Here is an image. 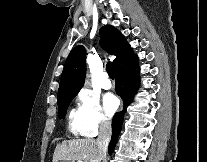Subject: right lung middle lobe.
<instances>
[{"label":"right lung middle lobe","instance_id":"right-lung-middle-lobe-1","mask_svg":"<svg viewBox=\"0 0 207 162\" xmlns=\"http://www.w3.org/2000/svg\"><path fill=\"white\" fill-rule=\"evenodd\" d=\"M73 98H74V96H69V97H64V98L58 99V117L60 119L65 117L67 107Z\"/></svg>","mask_w":207,"mask_h":162}]
</instances>
